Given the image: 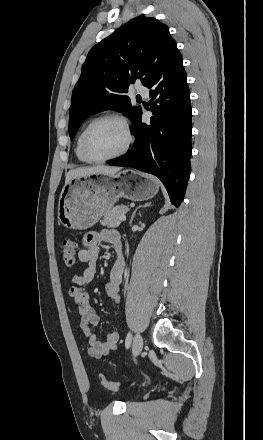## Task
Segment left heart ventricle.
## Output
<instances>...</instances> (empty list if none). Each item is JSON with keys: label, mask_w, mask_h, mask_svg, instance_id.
<instances>
[{"label": "left heart ventricle", "mask_w": 263, "mask_h": 440, "mask_svg": "<svg viewBox=\"0 0 263 440\" xmlns=\"http://www.w3.org/2000/svg\"><path fill=\"white\" fill-rule=\"evenodd\" d=\"M125 142L123 128L114 121H105L97 125L89 138V150L97 157L117 152Z\"/></svg>", "instance_id": "b2bd125f"}]
</instances>
